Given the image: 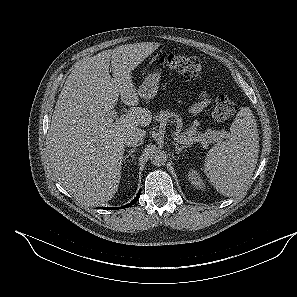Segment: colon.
I'll return each mask as SVG.
<instances>
[{
    "label": "colon",
    "instance_id": "obj_1",
    "mask_svg": "<svg viewBox=\"0 0 297 297\" xmlns=\"http://www.w3.org/2000/svg\"><path fill=\"white\" fill-rule=\"evenodd\" d=\"M160 64L175 73L190 79L201 80L204 77V68L202 62L194 56H183L170 54L160 59ZM235 111L234 102L226 96H220L215 101L212 118L216 123H222L228 120Z\"/></svg>",
    "mask_w": 297,
    "mask_h": 297
}]
</instances>
